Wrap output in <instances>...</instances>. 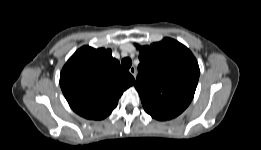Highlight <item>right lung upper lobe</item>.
Masks as SVG:
<instances>
[{"instance_id": "1", "label": "right lung upper lobe", "mask_w": 261, "mask_h": 150, "mask_svg": "<svg viewBox=\"0 0 261 150\" xmlns=\"http://www.w3.org/2000/svg\"><path fill=\"white\" fill-rule=\"evenodd\" d=\"M134 84L110 49L83 46L64 65L60 86L70 107L87 119L101 120L117 106L123 91Z\"/></svg>"}]
</instances>
